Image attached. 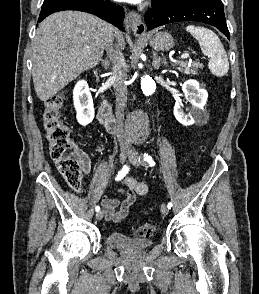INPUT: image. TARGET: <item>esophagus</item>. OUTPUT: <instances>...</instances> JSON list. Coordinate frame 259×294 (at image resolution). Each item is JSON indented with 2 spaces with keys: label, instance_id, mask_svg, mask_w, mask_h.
Wrapping results in <instances>:
<instances>
[{
  "label": "esophagus",
  "instance_id": "1",
  "mask_svg": "<svg viewBox=\"0 0 259 294\" xmlns=\"http://www.w3.org/2000/svg\"><path fill=\"white\" fill-rule=\"evenodd\" d=\"M127 26L132 30L135 36L143 37L146 34V26L140 14L135 11L127 13Z\"/></svg>",
  "mask_w": 259,
  "mask_h": 294
}]
</instances>
